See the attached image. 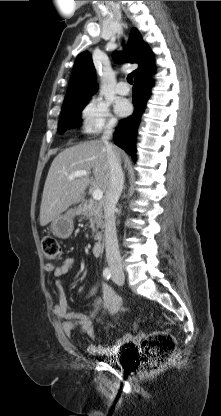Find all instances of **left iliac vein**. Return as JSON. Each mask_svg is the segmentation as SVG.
<instances>
[{
	"instance_id": "left-iliac-vein-1",
	"label": "left iliac vein",
	"mask_w": 221,
	"mask_h": 416,
	"mask_svg": "<svg viewBox=\"0 0 221 416\" xmlns=\"http://www.w3.org/2000/svg\"><path fill=\"white\" fill-rule=\"evenodd\" d=\"M113 281H114L117 285H119V286H121V285L123 284V280H119V279H117V278L115 277V275H113Z\"/></svg>"
}]
</instances>
